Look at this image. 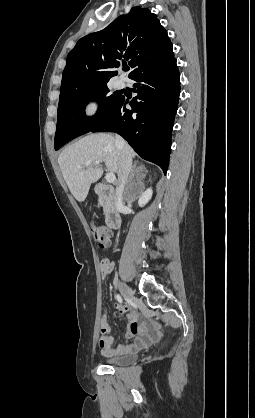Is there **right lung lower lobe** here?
I'll return each instance as SVG.
<instances>
[{"label": "right lung lower lobe", "instance_id": "98d812e1", "mask_svg": "<svg viewBox=\"0 0 255 418\" xmlns=\"http://www.w3.org/2000/svg\"><path fill=\"white\" fill-rule=\"evenodd\" d=\"M180 76L174 56L131 79L138 95L120 96L111 114L89 132H117L144 159L166 174L174 117L178 108ZM129 104L132 109H126Z\"/></svg>", "mask_w": 255, "mask_h": 418}]
</instances>
